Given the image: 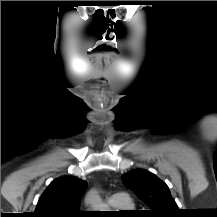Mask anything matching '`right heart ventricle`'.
<instances>
[{"label": "right heart ventricle", "mask_w": 217, "mask_h": 217, "mask_svg": "<svg viewBox=\"0 0 217 217\" xmlns=\"http://www.w3.org/2000/svg\"><path fill=\"white\" fill-rule=\"evenodd\" d=\"M116 208L117 210H130L134 208L133 202L129 199V202L120 206H112Z\"/></svg>", "instance_id": "e07e8e85"}]
</instances>
